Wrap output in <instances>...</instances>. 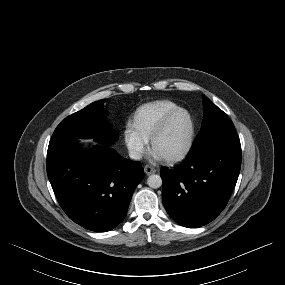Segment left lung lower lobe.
<instances>
[{
	"instance_id": "obj_1",
	"label": "left lung lower lobe",
	"mask_w": 285,
	"mask_h": 285,
	"mask_svg": "<svg viewBox=\"0 0 285 285\" xmlns=\"http://www.w3.org/2000/svg\"><path fill=\"white\" fill-rule=\"evenodd\" d=\"M240 167L241 146H229L187 157L174 169L161 170L166 211L188 228L208 224L227 205Z\"/></svg>"
}]
</instances>
